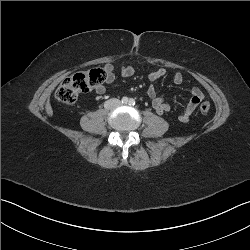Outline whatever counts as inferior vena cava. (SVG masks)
Returning <instances> with one entry per match:
<instances>
[{"label":"inferior vena cava","mask_w":250,"mask_h":250,"mask_svg":"<svg viewBox=\"0 0 250 250\" xmlns=\"http://www.w3.org/2000/svg\"><path fill=\"white\" fill-rule=\"evenodd\" d=\"M119 105H120V101L118 99H114V100L106 102L105 107L108 109H111Z\"/></svg>","instance_id":"inferior-vena-cava-1"}]
</instances>
